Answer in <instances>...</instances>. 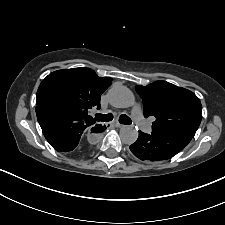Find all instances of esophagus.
I'll return each mask as SVG.
<instances>
[{"label":"esophagus","mask_w":225,"mask_h":225,"mask_svg":"<svg viewBox=\"0 0 225 225\" xmlns=\"http://www.w3.org/2000/svg\"><path fill=\"white\" fill-rule=\"evenodd\" d=\"M110 126L120 128V127H122L123 125L120 124V123H110Z\"/></svg>","instance_id":"esophagus-1"}]
</instances>
